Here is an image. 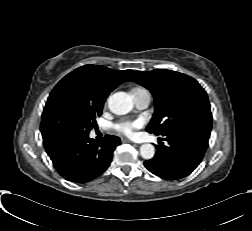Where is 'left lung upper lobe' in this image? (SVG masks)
<instances>
[{
  "instance_id": "obj_1",
  "label": "left lung upper lobe",
  "mask_w": 252,
  "mask_h": 231,
  "mask_svg": "<svg viewBox=\"0 0 252 231\" xmlns=\"http://www.w3.org/2000/svg\"><path fill=\"white\" fill-rule=\"evenodd\" d=\"M128 81L151 91L155 112L147 126L149 133L164 136L168 131L188 125H212V114L206 91L192 77L166 69L137 71Z\"/></svg>"
}]
</instances>
